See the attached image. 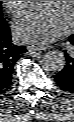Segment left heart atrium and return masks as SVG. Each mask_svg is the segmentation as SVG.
Segmentation results:
<instances>
[{"instance_id": "39dd6f15", "label": "left heart atrium", "mask_w": 74, "mask_h": 122, "mask_svg": "<svg viewBox=\"0 0 74 122\" xmlns=\"http://www.w3.org/2000/svg\"><path fill=\"white\" fill-rule=\"evenodd\" d=\"M69 25L57 7L45 5L18 15L13 31L22 43H47L66 33Z\"/></svg>"}]
</instances>
